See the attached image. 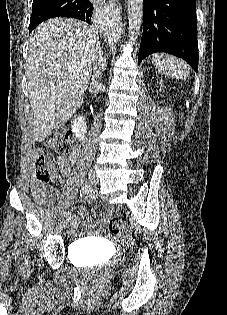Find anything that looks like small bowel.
I'll return each instance as SVG.
<instances>
[{
  "label": "small bowel",
  "instance_id": "1",
  "mask_svg": "<svg viewBox=\"0 0 227 315\" xmlns=\"http://www.w3.org/2000/svg\"><path fill=\"white\" fill-rule=\"evenodd\" d=\"M78 157L79 151L77 149H74L69 157H59L57 159L58 169L63 176L68 177L71 175V167L77 161ZM51 190L55 197L59 198L61 196L60 191L56 187H52ZM32 192L35 199L40 205H46L49 202L45 186H38L33 184ZM109 211L110 210L107 209V212ZM78 214L81 218L88 219V212L85 209L79 208ZM75 229L76 224L72 226V231H75Z\"/></svg>",
  "mask_w": 227,
  "mask_h": 315
}]
</instances>
